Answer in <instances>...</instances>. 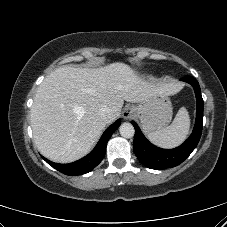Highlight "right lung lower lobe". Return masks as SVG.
Masks as SVG:
<instances>
[{"instance_id":"right-lung-lower-lobe-1","label":"right lung lower lobe","mask_w":227,"mask_h":227,"mask_svg":"<svg viewBox=\"0 0 227 227\" xmlns=\"http://www.w3.org/2000/svg\"><path fill=\"white\" fill-rule=\"evenodd\" d=\"M121 121L120 119L114 122L111 126H109L103 135L101 136L99 142L95 146V148L89 153L86 157L75 161L69 164H58L53 163L46 158L42 157L49 165H51L56 170L70 176L82 175L90 172L94 169L103 159L106 151V145L111 137V135L115 132V130L119 127Z\"/></svg>"}]
</instances>
